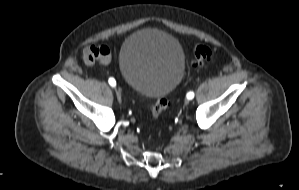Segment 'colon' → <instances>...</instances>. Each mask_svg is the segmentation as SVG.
<instances>
[{
  "mask_svg": "<svg viewBox=\"0 0 299 190\" xmlns=\"http://www.w3.org/2000/svg\"><path fill=\"white\" fill-rule=\"evenodd\" d=\"M215 50L207 45H198L194 49V58L192 64L201 66L215 59ZM169 108V102L166 98H158L151 106L152 119H158L160 115Z\"/></svg>",
  "mask_w": 299,
  "mask_h": 190,
  "instance_id": "obj_1",
  "label": "colon"
}]
</instances>
